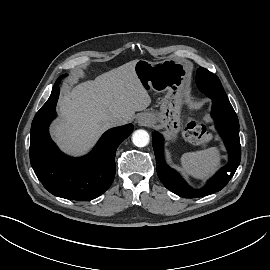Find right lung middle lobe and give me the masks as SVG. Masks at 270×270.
Wrapping results in <instances>:
<instances>
[{
    "mask_svg": "<svg viewBox=\"0 0 270 270\" xmlns=\"http://www.w3.org/2000/svg\"><path fill=\"white\" fill-rule=\"evenodd\" d=\"M64 76H65V75H62L61 77H59V78L57 79V81L55 82L54 85H59L60 80H61Z\"/></svg>",
    "mask_w": 270,
    "mask_h": 270,
    "instance_id": "dd1d6c3e",
    "label": "right lung middle lobe"
}]
</instances>
